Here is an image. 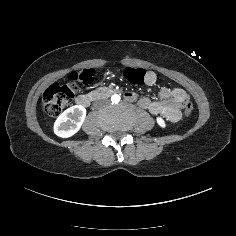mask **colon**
I'll return each mask as SVG.
<instances>
[{
	"label": "colon",
	"mask_w": 236,
	"mask_h": 236,
	"mask_svg": "<svg viewBox=\"0 0 236 236\" xmlns=\"http://www.w3.org/2000/svg\"><path fill=\"white\" fill-rule=\"evenodd\" d=\"M95 71L93 69L77 70L70 74L69 83L64 85L53 84L44 93V107L51 116H58L63 109L72 101L75 91L79 85L90 84L93 81ZM125 78L132 84L139 85L149 78L146 71L141 68H127L124 72ZM152 79L156 80L153 75ZM184 114L189 116L193 105L189 97L183 100Z\"/></svg>",
	"instance_id": "5ec220e1"
}]
</instances>
